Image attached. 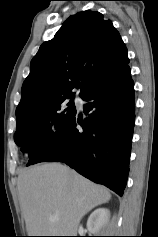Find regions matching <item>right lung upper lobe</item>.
Masks as SVG:
<instances>
[{"label": "right lung upper lobe", "mask_w": 158, "mask_h": 237, "mask_svg": "<svg viewBox=\"0 0 158 237\" xmlns=\"http://www.w3.org/2000/svg\"><path fill=\"white\" fill-rule=\"evenodd\" d=\"M128 62L127 48L112 22L99 12H79L33 57L16 118L37 112L52 101L73 99L74 88L81 87L82 98Z\"/></svg>", "instance_id": "obj_1"}]
</instances>
